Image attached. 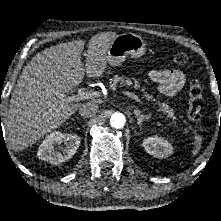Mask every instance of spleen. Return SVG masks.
Listing matches in <instances>:
<instances>
[{
	"label": "spleen",
	"mask_w": 221,
	"mask_h": 221,
	"mask_svg": "<svg viewBox=\"0 0 221 221\" xmlns=\"http://www.w3.org/2000/svg\"><path fill=\"white\" fill-rule=\"evenodd\" d=\"M201 143H202V136L195 135L194 136L195 149L193 150V155H196L198 153V149L200 148Z\"/></svg>",
	"instance_id": "obj_1"
}]
</instances>
